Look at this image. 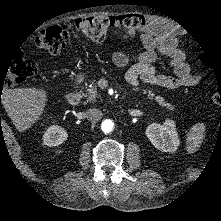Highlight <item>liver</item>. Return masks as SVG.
Returning a JSON list of instances; mask_svg holds the SVG:
<instances>
[{
	"mask_svg": "<svg viewBox=\"0 0 221 221\" xmlns=\"http://www.w3.org/2000/svg\"><path fill=\"white\" fill-rule=\"evenodd\" d=\"M43 93L34 89H11L4 92L2 105L18 131L36 120L43 108Z\"/></svg>",
	"mask_w": 221,
	"mask_h": 221,
	"instance_id": "1",
	"label": "liver"
}]
</instances>
